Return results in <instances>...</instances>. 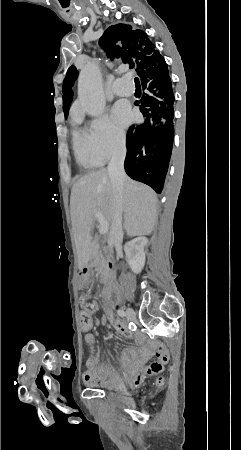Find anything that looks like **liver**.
I'll use <instances>...</instances> for the list:
<instances>
[{
	"mask_svg": "<svg viewBox=\"0 0 241 450\" xmlns=\"http://www.w3.org/2000/svg\"><path fill=\"white\" fill-rule=\"evenodd\" d=\"M123 228L127 236H149L157 216L156 192L125 176L123 186ZM71 220L79 270L87 266L98 246L91 240V230L99 218L111 226L114 194L106 168L90 172L75 182L70 198Z\"/></svg>",
	"mask_w": 241,
	"mask_h": 450,
	"instance_id": "liver-1",
	"label": "liver"
}]
</instances>
